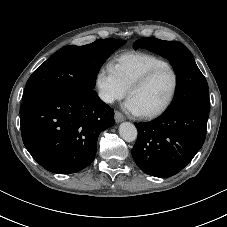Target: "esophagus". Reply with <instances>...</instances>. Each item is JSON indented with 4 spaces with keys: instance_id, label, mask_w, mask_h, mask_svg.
<instances>
[{
    "instance_id": "34e87169",
    "label": "esophagus",
    "mask_w": 227,
    "mask_h": 227,
    "mask_svg": "<svg viewBox=\"0 0 227 227\" xmlns=\"http://www.w3.org/2000/svg\"><path fill=\"white\" fill-rule=\"evenodd\" d=\"M124 120H125L124 115H123L122 113H120L119 111H116V112H115V121H116L117 123H120V122H122V121H124Z\"/></svg>"
}]
</instances>
